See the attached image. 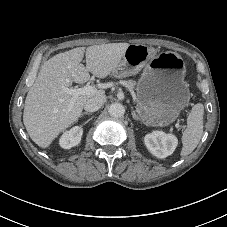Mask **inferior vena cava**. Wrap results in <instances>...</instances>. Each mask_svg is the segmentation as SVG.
Wrapping results in <instances>:
<instances>
[{
  "mask_svg": "<svg viewBox=\"0 0 227 227\" xmlns=\"http://www.w3.org/2000/svg\"><path fill=\"white\" fill-rule=\"evenodd\" d=\"M106 101L105 96H95L88 99L84 104V109L87 112H95L103 106Z\"/></svg>",
  "mask_w": 227,
  "mask_h": 227,
  "instance_id": "obj_1",
  "label": "inferior vena cava"
}]
</instances>
